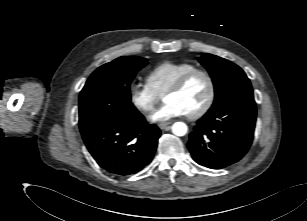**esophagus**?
Returning <instances> with one entry per match:
<instances>
[{
  "mask_svg": "<svg viewBox=\"0 0 307 221\" xmlns=\"http://www.w3.org/2000/svg\"><path fill=\"white\" fill-rule=\"evenodd\" d=\"M170 122L160 123L158 126L160 129H166L168 126H170Z\"/></svg>",
  "mask_w": 307,
  "mask_h": 221,
  "instance_id": "1",
  "label": "esophagus"
}]
</instances>
